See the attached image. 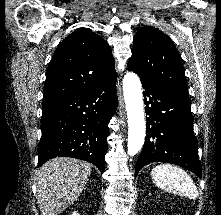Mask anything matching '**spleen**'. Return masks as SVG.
Instances as JSON below:
<instances>
[{
	"instance_id": "obj_1",
	"label": "spleen",
	"mask_w": 221,
	"mask_h": 215,
	"mask_svg": "<svg viewBox=\"0 0 221 215\" xmlns=\"http://www.w3.org/2000/svg\"><path fill=\"white\" fill-rule=\"evenodd\" d=\"M153 182L160 189L195 199L199 196L192 178L181 168L171 164H162L151 172Z\"/></svg>"
}]
</instances>
